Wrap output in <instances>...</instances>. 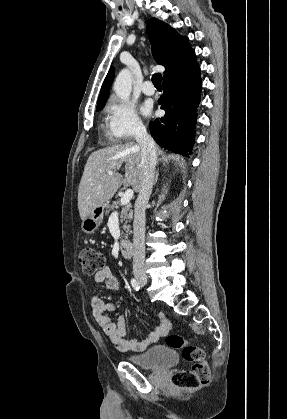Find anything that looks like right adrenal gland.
I'll list each match as a JSON object with an SVG mask.
<instances>
[{
	"label": "right adrenal gland",
	"mask_w": 287,
	"mask_h": 419,
	"mask_svg": "<svg viewBox=\"0 0 287 419\" xmlns=\"http://www.w3.org/2000/svg\"><path fill=\"white\" fill-rule=\"evenodd\" d=\"M157 181H158V174H157V175H156V177H155L154 184H156V183H157Z\"/></svg>",
	"instance_id": "2a0ac1e0"
}]
</instances>
